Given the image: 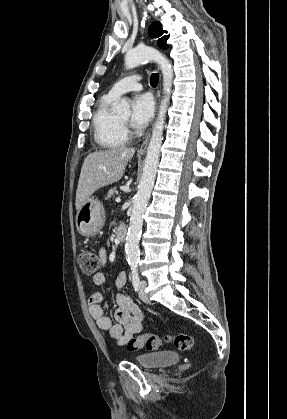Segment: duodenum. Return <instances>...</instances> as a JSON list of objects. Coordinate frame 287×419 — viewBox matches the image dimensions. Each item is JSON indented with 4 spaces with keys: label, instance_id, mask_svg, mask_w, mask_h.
Masks as SVG:
<instances>
[{
    "label": "duodenum",
    "instance_id": "410a0bca",
    "mask_svg": "<svg viewBox=\"0 0 287 419\" xmlns=\"http://www.w3.org/2000/svg\"><path fill=\"white\" fill-rule=\"evenodd\" d=\"M127 236V229L124 226H120L116 230V238L119 242H122L125 240Z\"/></svg>",
    "mask_w": 287,
    "mask_h": 419
}]
</instances>
